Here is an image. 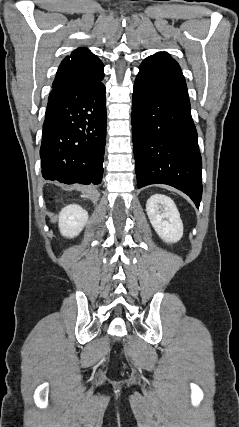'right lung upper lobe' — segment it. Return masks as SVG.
I'll return each instance as SVG.
<instances>
[{"instance_id":"1","label":"right lung upper lobe","mask_w":239,"mask_h":427,"mask_svg":"<svg viewBox=\"0 0 239 427\" xmlns=\"http://www.w3.org/2000/svg\"><path fill=\"white\" fill-rule=\"evenodd\" d=\"M101 60L86 48H77L61 62L53 86L71 79H81L103 71Z\"/></svg>"}]
</instances>
